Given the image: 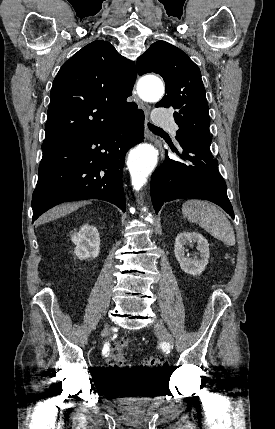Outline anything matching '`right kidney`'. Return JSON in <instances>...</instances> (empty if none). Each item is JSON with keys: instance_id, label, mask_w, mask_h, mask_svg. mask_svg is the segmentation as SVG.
I'll return each mask as SVG.
<instances>
[{"instance_id": "right-kidney-1", "label": "right kidney", "mask_w": 275, "mask_h": 429, "mask_svg": "<svg viewBox=\"0 0 275 429\" xmlns=\"http://www.w3.org/2000/svg\"><path fill=\"white\" fill-rule=\"evenodd\" d=\"M72 242L76 245L75 255L80 260L94 259L100 251V237L95 226L84 225L80 230L73 234Z\"/></svg>"}]
</instances>
